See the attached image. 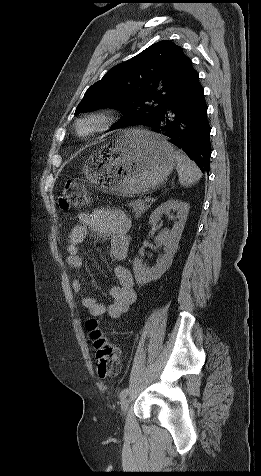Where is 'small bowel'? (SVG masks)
Instances as JSON below:
<instances>
[{
	"instance_id": "c3829d8e",
	"label": "small bowel",
	"mask_w": 261,
	"mask_h": 476,
	"mask_svg": "<svg viewBox=\"0 0 261 476\" xmlns=\"http://www.w3.org/2000/svg\"><path fill=\"white\" fill-rule=\"evenodd\" d=\"M80 223L75 225L68 236L67 265L74 270L83 266L81 256V244L90 232L100 239H109V254L112 260L122 261L127 256L129 239L128 232L131 228V219L121 210L101 208L79 215ZM117 284L109 289L111 302L104 305L92 298L84 297L83 306L88 313L96 318L108 315L111 318H119L128 311L136 301L134 280L132 273L124 266L114 268ZM82 282L79 279L72 281V290L75 294L82 292Z\"/></svg>"
}]
</instances>
